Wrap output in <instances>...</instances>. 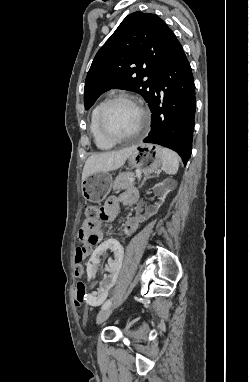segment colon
Returning a JSON list of instances; mask_svg holds the SVG:
<instances>
[{"label": "colon", "instance_id": "obj_1", "mask_svg": "<svg viewBox=\"0 0 249 382\" xmlns=\"http://www.w3.org/2000/svg\"><path fill=\"white\" fill-rule=\"evenodd\" d=\"M83 213L85 217L90 221H95L98 217H100L101 209L95 204H85L83 207ZM87 251L84 247H79L76 252V263L74 277L79 279L81 277V273L83 272V267L81 265V261L85 257ZM86 297V287L83 282H79L76 287V295L75 300L82 299V301Z\"/></svg>", "mask_w": 249, "mask_h": 382}]
</instances>
